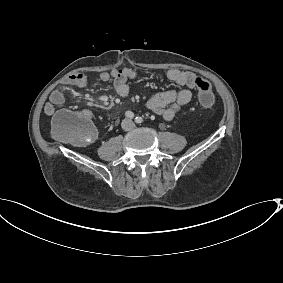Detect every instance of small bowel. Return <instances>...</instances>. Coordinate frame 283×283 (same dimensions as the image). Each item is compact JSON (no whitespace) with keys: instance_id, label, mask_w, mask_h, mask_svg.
I'll use <instances>...</instances> for the list:
<instances>
[{"instance_id":"obj_1","label":"small bowel","mask_w":283,"mask_h":283,"mask_svg":"<svg viewBox=\"0 0 283 283\" xmlns=\"http://www.w3.org/2000/svg\"><path fill=\"white\" fill-rule=\"evenodd\" d=\"M136 76L137 73L134 69L123 67L111 72H102L99 78L102 82L111 81L115 92L121 97H126L129 94V81L135 79ZM166 78L182 89L153 93L146 101V108L169 122L174 120L179 110L191 101L192 90L196 87V76L191 72L170 69L166 72ZM63 83L64 85L82 88L87 86L88 78L84 74H73L66 77ZM64 101L63 92L54 90L44 107L46 115L53 116L55 108L61 106ZM82 113L88 118L92 116L89 110H83Z\"/></svg>"}]
</instances>
